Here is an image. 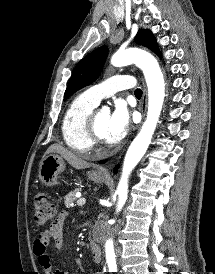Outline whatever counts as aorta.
<instances>
[{"instance_id":"1","label":"aorta","mask_w":215,"mask_h":274,"mask_svg":"<svg viewBox=\"0 0 215 274\" xmlns=\"http://www.w3.org/2000/svg\"><path fill=\"white\" fill-rule=\"evenodd\" d=\"M136 64L144 73L148 87V112L146 120L131 143L123 163L122 176L117 191L119 212L127 200L128 178L131 171L145 154L153 133L155 131L165 96V84L163 74L157 60L146 51L137 48H129L116 52L111 58V64L116 67ZM106 262L109 270L115 272L117 269L114 251V241L109 238L106 242Z\"/></svg>"}]
</instances>
